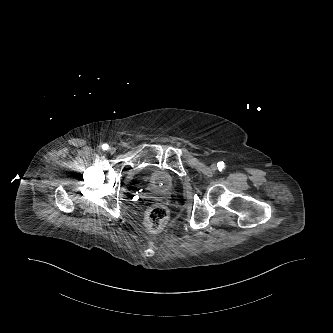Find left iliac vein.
Masks as SVG:
<instances>
[{"mask_svg": "<svg viewBox=\"0 0 333 333\" xmlns=\"http://www.w3.org/2000/svg\"><path fill=\"white\" fill-rule=\"evenodd\" d=\"M211 169L212 170H216L217 169V164L216 163H212L211 164Z\"/></svg>", "mask_w": 333, "mask_h": 333, "instance_id": "4c4485c4", "label": "left iliac vein"}]
</instances>
